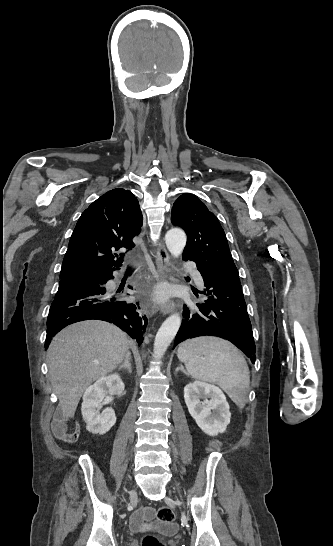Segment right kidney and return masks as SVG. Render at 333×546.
Wrapping results in <instances>:
<instances>
[{"label": "right kidney", "instance_id": "right-kidney-1", "mask_svg": "<svg viewBox=\"0 0 333 546\" xmlns=\"http://www.w3.org/2000/svg\"><path fill=\"white\" fill-rule=\"evenodd\" d=\"M124 383L118 374H110L99 378L89 386L83 395L82 416L87 425V430L92 434H105L116 423L115 412L112 408H106L99 412V406L108 393L121 396L124 391Z\"/></svg>", "mask_w": 333, "mask_h": 546}]
</instances>
